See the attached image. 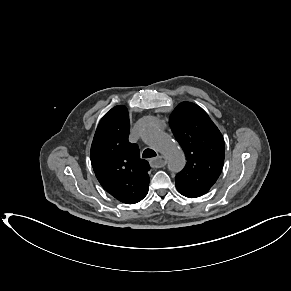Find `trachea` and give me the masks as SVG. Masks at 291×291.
Here are the masks:
<instances>
[{"instance_id": "1", "label": "trachea", "mask_w": 291, "mask_h": 291, "mask_svg": "<svg viewBox=\"0 0 291 291\" xmlns=\"http://www.w3.org/2000/svg\"><path fill=\"white\" fill-rule=\"evenodd\" d=\"M155 156H156V153L152 149H145L143 154H142L143 158H151V157H155Z\"/></svg>"}]
</instances>
